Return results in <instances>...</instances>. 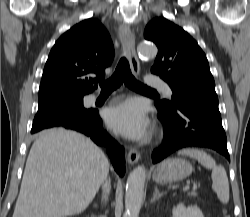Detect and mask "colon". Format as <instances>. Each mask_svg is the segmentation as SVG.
<instances>
[{
    "mask_svg": "<svg viewBox=\"0 0 250 217\" xmlns=\"http://www.w3.org/2000/svg\"><path fill=\"white\" fill-rule=\"evenodd\" d=\"M224 217H229L228 215H225Z\"/></svg>",
    "mask_w": 250,
    "mask_h": 217,
    "instance_id": "obj_1",
    "label": "colon"
}]
</instances>
